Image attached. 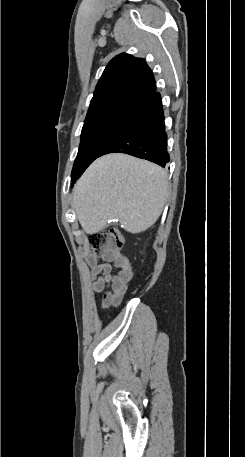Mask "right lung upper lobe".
<instances>
[{
    "label": "right lung upper lobe",
    "mask_w": 245,
    "mask_h": 457,
    "mask_svg": "<svg viewBox=\"0 0 245 457\" xmlns=\"http://www.w3.org/2000/svg\"><path fill=\"white\" fill-rule=\"evenodd\" d=\"M155 90V80L146 62L129 54H120L105 68L88 113L130 110Z\"/></svg>",
    "instance_id": "right-lung-upper-lobe-1"
}]
</instances>
